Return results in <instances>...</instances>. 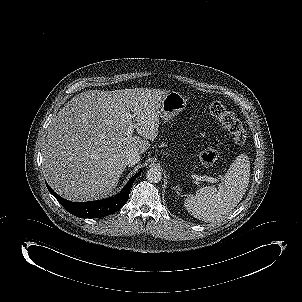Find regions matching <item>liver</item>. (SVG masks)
Instances as JSON below:
<instances>
[{
    "label": "liver",
    "mask_w": 302,
    "mask_h": 302,
    "mask_svg": "<svg viewBox=\"0 0 302 302\" xmlns=\"http://www.w3.org/2000/svg\"><path fill=\"white\" fill-rule=\"evenodd\" d=\"M168 91L144 88L90 90L74 96L53 119L43 150L42 168L63 198L92 201L116 188L130 152L144 153L158 135V113ZM132 113L142 136L126 135Z\"/></svg>",
    "instance_id": "1"
}]
</instances>
